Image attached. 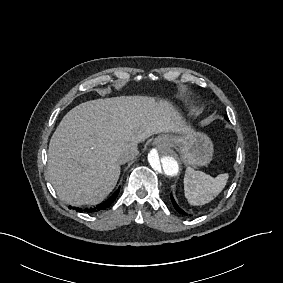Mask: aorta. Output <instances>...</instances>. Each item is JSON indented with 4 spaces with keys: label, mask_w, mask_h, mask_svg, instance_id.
Instances as JSON below:
<instances>
[{
    "label": "aorta",
    "mask_w": 283,
    "mask_h": 283,
    "mask_svg": "<svg viewBox=\"0 0 283 283\" xmlns=\"http://www.w3.org/2000/svg\"><path fill=\"white\" fill-rule=\"evenodd\" d=\"M150 171L161 181L176 177L180 172V160L171 148L159 145L148 153Z\"/></svg>",
    "instance_id": "obj_1"
}]
</instances>
